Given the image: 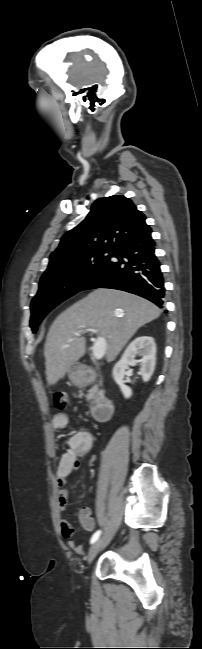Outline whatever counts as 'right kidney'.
I'll use <instances>...</instances> for the list:
<instances>
[{
	"label": "right kidney",
	"mask_w": 202,
	"mask_h": 649,
	"mask_svg": "<svg viewBox=\"0 0 202 649\" xmlns=\"http://www.w3.org/2000/svg\"><path fill=\"white\" fill-rule=\"evenodd\" d=\"M136 356H141V360H136ZM156 362V344L150 336L136 337L126 348L121 359L113 368V378L119 385L125 398L132 395L130 387L124 383V375L128 366H135L140 363V374L144 382H148L154 372Z\"/></svg>",
	"instance_id": "obj_1"
}]
</instances>
